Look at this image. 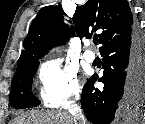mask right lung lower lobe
Instances as JSON below:
<instances>
[{
  "label": "right lung lower lobe",
  "instance_id": "right-lung-lower-lobe-1",
  "mask_svg": "<svg viewBox=\"0 0 145 124\" xmlns=\"http://www.w3.org/2000/svg\"><path fill=\"white\" fill-rule=\"evenodd\" d=\"M104 89L94 88L98 76L89 78L82 91V109L95 124L114 118L131 120L145 102V36L136 25L114 36L101 48Z\"/></svg>",
  "mask_w": 145,
  "mask_h": 124
}]
</instances>
